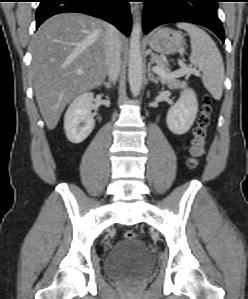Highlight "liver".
Returning <instances> with one entry per match:
<instances>
[{
    "mask_svg": "<svg viewBox=\"0 0 248 299\" xmlns=\"http://www.w3.org/2000/svg\"><path fill=\"white\" fill-rule=\"evenodd\" d=\"M104 21L63 13L45 21L35 34L31 74L36 101L49 130L78 94L98 87L107 74ZM121 48L125 37L118 32Z\"/></svg>",
    "mask_w": 248,
    "mask_h": 299,
    "instance_id": "1",
    "label": "liver"
}]
</instances>
